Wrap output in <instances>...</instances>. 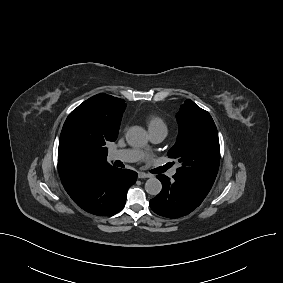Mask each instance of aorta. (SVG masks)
<instances>
[{
  "label": "aorta",
  "instance_id": "1",
  "mask_svg": "<svg viewBox=\"0 0 283 283\" xmlns=\"http://www.w3.org/2000/svg\"><path fill=\"white\" fill-rule=\"evenodd\" d=\"M126 140L133 147H143L147 144V132L140 126H132L126 134ZM145 190L150 195H158L162 190V184L157 178L146 181Z\"/></svg>",
  "mask_w": 283,
  "mask_h": 283
}]
</instances>
